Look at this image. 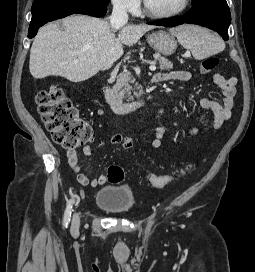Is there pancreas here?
Listing matches in <instances>:
<instances>
[{
  "instance_id": "obj_1",
  "label": "pancreas",
  "mask_w": 255,
  "mask_h": 272,
  "mask_svg": "<svg viewBox=\"0 0 255 272\" xmlns=\"http://www.w3.org/2000/svg\"><path fill=\"white\" fill-rule=\"evenodd\" d=\"M153 57L155 61H158L161 70L169 71L170 69L173 68V64L170 61H168V59L161 56L160 53L153 54ZM114 89L118 91L119 95L122 98L128 99V101L133 99L131 91L136 97H140L142 95L140 86L135 81V78L129 71H123L119 74L114 85Z\"/></svg>"
}]
</instances>
